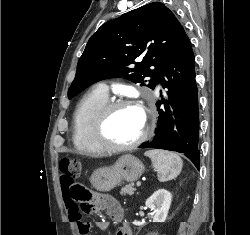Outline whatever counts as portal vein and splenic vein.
<instances>
[{"mask_svg":"<svg viewBox=\"0 0 250 235\" xmlns=\"http://www.w3.org/2000/svg\"><path fill=\"white\" fill-rule=\"evenodd\" d=\"M136 185L139 187V186L141 185V182L138 181V182L136 183Z\"/></svg>","mask_w":250,"mask_h":235,"instance_id":"1","label":"portal vein and splenic vein"}]
</instances>
